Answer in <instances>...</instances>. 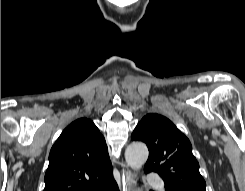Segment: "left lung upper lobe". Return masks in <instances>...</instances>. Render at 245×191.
Listing matches in <instances>:
<instances>
[{"label":"left lung upper lobe","instance_id":"obj_1","mask_svg":"<svg viewBox=\"0 0 245 191\" xmlns=\"http://www.w3.org/2000/svg\"><path fill=\"white\" fill-rule=\"evenodd\" d=\"M131 139L146 143L149 157L144 172H157L166 191H206L189 139L168 118L154 113L145 115Z\"/></svg>","mask_w":245,"mask_h":191}]
</instances>
